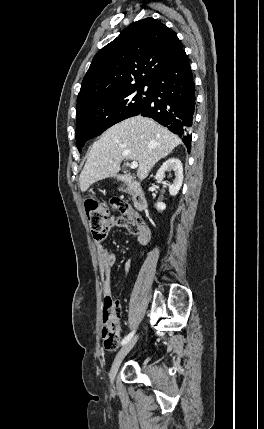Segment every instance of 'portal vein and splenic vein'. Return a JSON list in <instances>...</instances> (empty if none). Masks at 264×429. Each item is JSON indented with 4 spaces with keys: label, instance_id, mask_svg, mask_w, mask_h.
I'll list each match as a JSON object with an SVG mask.
<instances>
[{
    "label": "portal vein and splenic vein",
    "instance_id": "portal-vein-and-splenic-vein-1",
    "mask_svg": "<svg viewBox=\"0 0 264 429\" xmlns=\"http://www.w3.org/2000/svg\"><path fill=\"white\" fill-rule=\"evenodd\" d=\"M138 167V162L137 161H132L130 164V168L131 169H136Z\"/></svg>",
    "mask_w": 264,
    "mask_h": 429
}]
</instances>
